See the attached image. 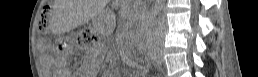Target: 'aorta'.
<instances>
[{
  "label": "aorta",
  "instance_id": "1",
  "mask_svg": "<svg viewBox=\"0 0 258 77\" xmlns=\"http://www.w3.org/2000/svg\"><path fill=\"white\" fill-rule=\"evenodd\" d=\"M162 7H163V0H156L150 12V15L156 16L161 11Z\"/></svg>",
  "mask_w": 258,
  "mask_h": 77
}]
</instances>
